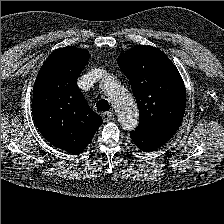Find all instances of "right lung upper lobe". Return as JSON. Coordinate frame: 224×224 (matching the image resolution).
Here are the masks:
<instances>
[{
  "label": "right lung upper lobe",
  "mask_w": 224,
  "mask_h": 224,
  "mask_svg": "<svg viewBox=\"0 0 224 224\" xmlns=\"http://www.w3.org/2000/svg\"><path fill=\"white\" fill-rule=\"evenodd\" d=\"M89 60L88 51L55 50L43 63L33 88L32 114L43 137L53 146L79 154L102 124L76 84Z\"/></svg>",
  "instance_id": "1"
}]
</instances>
